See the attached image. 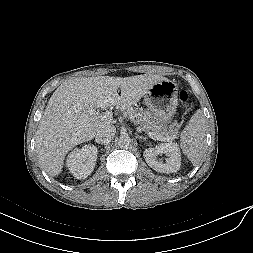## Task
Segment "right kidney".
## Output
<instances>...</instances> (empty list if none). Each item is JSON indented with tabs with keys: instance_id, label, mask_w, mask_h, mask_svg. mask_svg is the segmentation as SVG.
Instances as JSON below:
<instances>
[{
	"instance_id": "right-kidney-1",
	"label": "right kidney",
	"mask_w": 253,
	"mask_h": 253,
	"mask_svg": "<svg viewBox=\"0 0 253 253\" xmlns=\"http://www.w3.org/2000/svg\"><path fill=\"white\" fill-rule=\"evenodd\" d=\"M98 151L94 145L74 149L66 160V166L77 179L87 178L95 168Z\"/></svg>"
}]
</instances>
